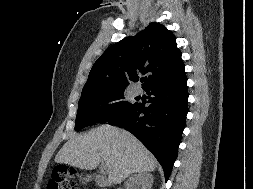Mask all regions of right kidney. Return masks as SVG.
Segmentation results:
<instances>
[{"label":"right kidney","instance_id":"1","mask_svg":"<svg viewBox=\"0 0 253 189\" xmlns=\"http://www.w3.org/2000/svg\"><path fill=\"white\" fill-rule=\"evenodd\" d=\"M152 183V175L141 172L129 177L126 182V189H151Z\"/></svg>","mask_w":253,"mask_h":189}]
</instances>
